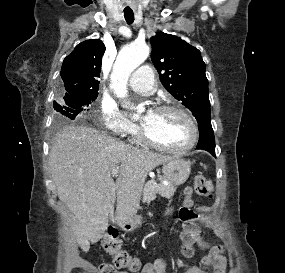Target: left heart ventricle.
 Listing matches in <instances>:
<instances>
[{
    "label": "left heart ventricle",
    "mask_w": 285,
    "mask_h": 273,
    "mask_svg": "<svg viewBox=\"0 0 285 273\" xmlns=\"http://www.w3.org/2000/svg\"><path fill=\"white\" fill-rule=\"evenodd\" d=\"M142 126L159 143L181 147L190 139V126L187 120L174 111H154L151 116L142 118Z\"/></svg>",
    "instance_id": "obj_1"
}]
</instances>
